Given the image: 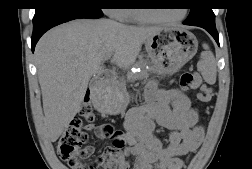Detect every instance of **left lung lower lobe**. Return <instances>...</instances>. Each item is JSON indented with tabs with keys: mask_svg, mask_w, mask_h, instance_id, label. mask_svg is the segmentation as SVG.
I'll return each instance as SVG.
<instances>
[{
	"mask_svg": "<svg viewBox=\"0 0 252 169\" xmlns=\"http://www.w3.org/2000/svg\"><path fill=\"white\" fill-rule=\"evenodd\" d=\"M199 27L208 31L213 36V38L216 40L217 44L219 45V36H218L217 30H216V27L203 26V25H200Z\"/></svg>",
	"mask_w": 252,
	"mask_h": 169,
	"instance_id": "0a47b994",
	"label": "left lung lower lobe"
}]
</instances>
